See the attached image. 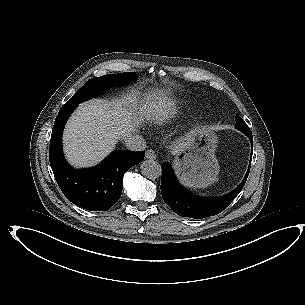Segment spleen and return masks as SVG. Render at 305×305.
Returning a JSON list of instances; mask_svg holds the SVG:
<instances>
[{
  "mask_svg": "<svg viewBox=\"0 0 305 305\" xmlns=\"http://www.w3.org/2000/svg\"><path fill=\"white\" fill-rule=\"evenodd\" d=\"M200 196H205L206 194L205 193H202V194H199Z\"/></svg>",
  "mask_w": 305,
  "mask_h": 305,
  "instance_id": "3e777b00",
  "label": "spleen"
}]
</instances>
